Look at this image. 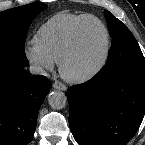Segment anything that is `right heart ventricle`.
Instances as JSON below:
<instances>
[{"label":"right heart ventricle","instance_id":"obj_1","mask_svg":"<svg viewBox=\"0 0 145 145\" xmlns=\"http://www.w3.org/2000/svg\"><path fill=\"white\" fill-rule=\"evenodd\" d=\"M90 14L58 13L36 31L33 45L58 63L68 48L75 27Z\"/></svg>","mask_w":145,"mask_h":145}]
</instances>
